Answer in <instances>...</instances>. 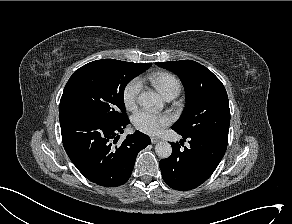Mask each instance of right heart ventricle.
<instances>
[{"instance_id": "right-heart-ventricle-1", "label": "right heart ventricle", "mask_w": 292, "mask_h": 224, "mask_svg": "<svg viewBox=\"0 0 292 224\" xmlns=\"http://www.w3.org/2000/svg\"><path fill=\"white\" fill-rule=\"evenodd\" d=\"M151 83L164 96L178 95L181 90L180 81L170 73H159L150 77Z\"/></svg>"}]
</instances>
